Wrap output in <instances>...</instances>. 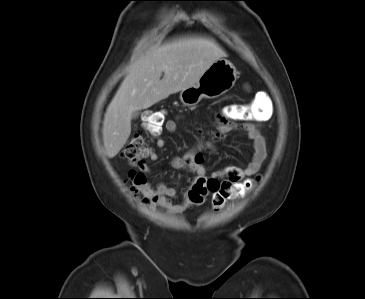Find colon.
I'll list each match as a JSON object with an SVG mask.
<instances>
[{"mask_svg":"<svg viewBox=\"0 0 365 299\" xmlns=\"http://www.w3.org/2000/svg\"><path fill=\"white\" fill-rule=\"evenodd\" d=\"M261 118L247 105L232 104L223 110L222 120H251ZM165 114L162 110L147 111L143 115V127L152 134L160 133L164 123ZM149 154V147L141 134H135L124 150V157L132 165H138L144 157ZM145 183L142 174L132 171L129 174L127 187L130 192L139 199L145 200L141 191V186ZM254 186V180L246 179L237 182L219 183L206 182L194 184L188 191L187 202L190 205H200L205 198L212 194L213 206L217 209L236 197L243 196L248 193Z\"/></svg>","mask_w":365,"mask_h":299,"instance_id":"5ec220e1","label":"colon"}]
</instances>
